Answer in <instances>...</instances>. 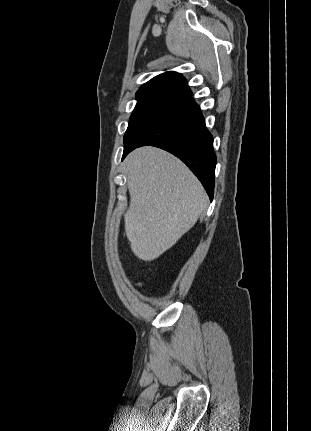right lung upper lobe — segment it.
Returning <instances> with one entry per match:
<instances>
[{
    "label": "right lung upper lobe",
    "mask_w": 311,
    "mask_h": 431,
    "mask_svg": "<svg viewBox=\"0 0 311 431\" xmlns=\"http://www.w3.org/2000/svg\"><path fill=\"white\" fill-rule=\"evenodd\" d=\"M147 90L173 94L180 98L192 95L185 78L176 72H166L160 74L143 84L139 89V91Z\"/></svg>",
    "instance_id": "obj_1"
}]
</instances>
